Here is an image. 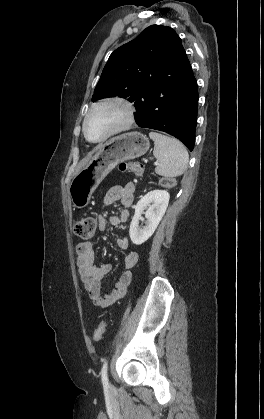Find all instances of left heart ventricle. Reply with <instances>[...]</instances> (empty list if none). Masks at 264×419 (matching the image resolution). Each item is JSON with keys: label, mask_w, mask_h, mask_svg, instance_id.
Listing matches in <instances>:
<instances>
[{"label": "left heart ventricle", "mask_w": 264, "mask_h": 419, "mask_svg": "<svg viewBox=\"0 0 264 419\" xmlns=\"http://www.w3.org/2000/svg\"><path fill=\"white\" fill-rule=\"evenodd\" d=\"M124 120L121 107L112 105L95 110L87 122V133L91 139H99Z\"/></svg>", "instance_id": "left-heart-ventricle-1"}]
</instances>
